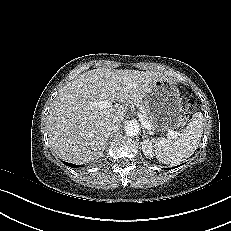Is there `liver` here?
I'll use <instances>...</instances> for the list:
<instances>
[{"label":"liver","mask_w":231,"mask_h":231,"mask_svg":"<svg viewBox=\"0 0 231 231\" xmlns=\"http://www.w3.org/2000/svg\"><path fill=\"white\" fill-rule=\"evenodd\" d=\"M160 79L167 78L155 71L128 69L97 68L80 74L60 90L51 106L46 123L51 149L75 164L99 159L109 135L106 125L113 120L121 123L126 116L123 103L141 104ZM114 99L120 103L112 105ZM93 101L111 104L99 109Z\"/></svg>","instance_id":"obj_1"}]
</instances>
